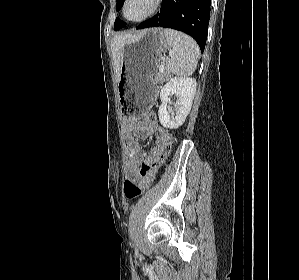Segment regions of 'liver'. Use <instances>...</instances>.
Here are the masks:
<instances>
[{
  "label": "liver",
  "instance_id": "6515ba94",
  "mask_svg": "<svg viewBox=\"0 0 299 280\" xmlns=\"http://www.w3.org/2000/svg\"><path fill=\"white\" fill-rule=\"evenodd\" d=\"M137 35L132 34H119L115 35L111 41V51L115 66L116 81L120 80V63L122 49L124 45L136 38Z\"/></svg>",
  "mask_w": 299,
  "mask_h": 280
}]
</instances>
